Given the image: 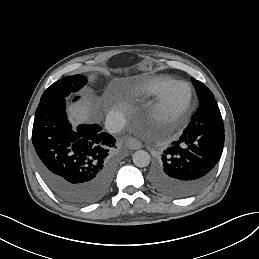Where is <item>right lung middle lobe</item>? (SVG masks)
I'll return each mask as SVG.
<instances>
[{"instance_id":"1","label":"right lung middle lobe","mask_w":259,"mask_h":259,"mask_svg":"<svg viewBox=\"0 0 259 259\" xmlns=\"http://www.w3.org/2000/svg\"><path fill=\"white\" fill-rule=\"evenodd\" d=\"M87 83V78L82 75H73L62 78L53 83L41 96L40 101L58 98H66L71 93L77 92ZM73 94L71 95V98ZM74 97V100L78 99Z\"/></svg>"}]
</instances>
